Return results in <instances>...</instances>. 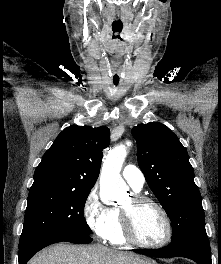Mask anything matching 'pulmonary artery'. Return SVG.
Returning a JSON list of instances; mask_svg holds the SVG:
<instances>
[{
    "label": "pulmonary artery",
    "mask_w": 221,
    "mask_h": 264,
    "mask_svg": "<svg viewBox=\"0 0 221 264\" xmlns=\"http://www.w3.org/2000/svg\"><path fill=\"white\" fill-rule=\"evenodd\" d=\"M123 178L135 191H140L145 183V177L143 172L135 165H126L122 170Z\"/></svg>",
    "instance_id": "pulmonary-artery-1"
}]
</instances>
